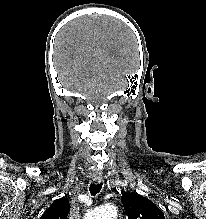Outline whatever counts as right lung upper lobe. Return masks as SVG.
<instances>
[{"label": "right lung upper lobe", "mask_w": 206, "mask_h": 219, "mask_svg": "<svg viewBox=\"0 0 206 219\" xmlns=\"http://www.w3.org/2000/svg\"><path fill=\"white\" fill-rule=\"evenodd\" d=\"M70 211L69 200L66 197L55 200L51 206L46 209L40 219H67Z\"/></svg>", "instance_id": "right-lung-upper-lobe-1"}]
</instances>
